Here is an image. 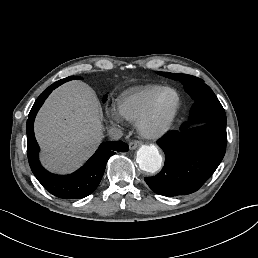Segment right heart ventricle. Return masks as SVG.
Instances as JSON below:
<instances>
[{
  "instance_id": "1",
  "label": "right heart ventricle",
  "mask_w": 258,
  "mask_h": 258,
  "mask_svg": "<svg viewBox=\"0 0 258 258\" xmlns=\"http://www.w3.org/2000/svg\"><path fill=\"white\" fill-rule=\"evenodd\" d=\"M160 88L159 85H146L123 92L117 99L119 112L125 119L136 121Z\"/></svg>"
}]
</instances>
